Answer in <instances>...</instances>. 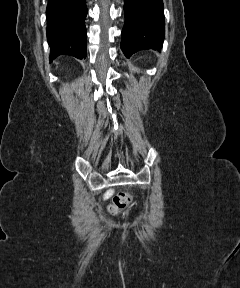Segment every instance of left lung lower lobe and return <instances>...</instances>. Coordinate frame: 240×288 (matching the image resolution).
<instances>
[{
	"instance_id": "0a47b994",
	"label": "left lung lower lobe",
	"mask_w": 240,
	"mask_h": 288,
	"mask_svg": "<svg viewBox=\"0 0 240 288\" xmlns=\"http://www.w3.org/2000/svg\"><path fill=\"white\" fill-rule=\"evenodd\" d=\"M124 13L121 49L126 57L142 49L162 48L165 26L162 0H124Z\"/></svg>"
}]
</instances>
